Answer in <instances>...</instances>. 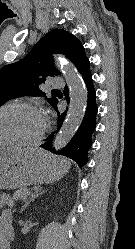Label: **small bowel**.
<instances>
[{
  "label": "small bowel",
  "instance_id": "obj_1",
  "mask_svg": "<svg viewBox=\"0 0 135 249\" xmlns=\"http://www.w3.org/2000/svg\"><path fill=\"white\" fill-rule=\"evenodd\" d=\"M12 214L9 210H4L0 214V249H4L5 244L9 247V240L13 237Z\"/></svg>",
  "mask_w": 135,
  "mask_h": 249
}]
</instances>
